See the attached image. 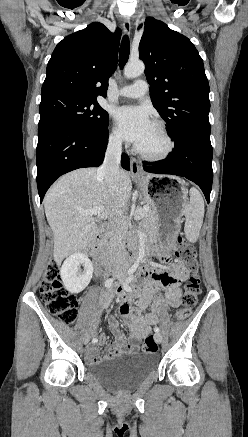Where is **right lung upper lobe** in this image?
<instances>
[{
  "label": "right lung upper lobe",
  "instance_id": "cb5924a9",
  "mask_svg": "<svg viewBox=\"0 0 248 437\" xmlns=\"http://www.w3.org/2000/svg\"><path fill=\"white\" fill-rule=\"evenodd\" d=\"M120 36L119 28L111 33L94 22L65 37L48 62L41 96L60 93L93 101L98 95L106 97L108 78L117 66Z\"/></svg>",
  "mask_w": 248,
  "mask_h": 437
}]
</instances>
